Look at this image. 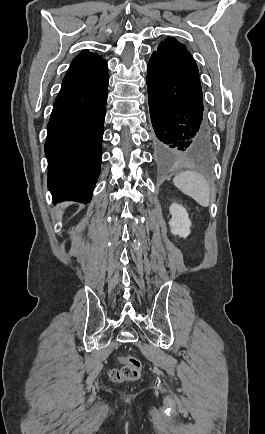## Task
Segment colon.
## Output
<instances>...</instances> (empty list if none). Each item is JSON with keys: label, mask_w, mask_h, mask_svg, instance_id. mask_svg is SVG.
<instances>
[{"label": "colon", "mask_w": 265, "mask_h": 434, "mask_svg": "<svg viewBox=\"0 0 265 434\" xmlns=\"http://www.w3.org/2000/svg\"><path fill=\"white\" fill-rule=\"evenodd\" d=\"M142 373V364L140 360L134 357H127L123 360L120 368L113 369L110 376L117 382H126L136 380Z\"/></svg>", "instance_id": "5ec220e1"}]
</instances>
